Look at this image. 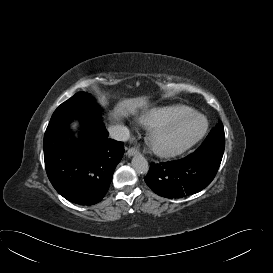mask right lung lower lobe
Instances as JSON below:
<instances>
[{"instance_id":"right-lung-lower-lobe-1","label":"right lung lower lobe","mask_w":273,"mask_h":273,"mask_svg":"<svg viewBox=\"0 0 273 273\" xmlns=\"http://www.w3.org/2000/svg\"><path fill=\"white\" fill-rule=\"evenodd\" d=\"M78 118L81 141L67 142L70 122ZM99 116L54 112L44 135V161L50 182L65 199L93 205L109 189L124 154L123 142L108 138Z\"/></svg>"}]
</instances>
